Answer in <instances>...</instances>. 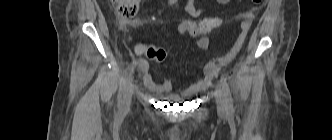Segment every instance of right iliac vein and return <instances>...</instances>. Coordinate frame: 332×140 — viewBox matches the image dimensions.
Returning a JSON list of instances; mask_svg holds the SVG:
<instances>
[{
	"label": "right iliac vein",
	"instance_id": "1",
	"mask_svg": "<svg viewBox=\"0 0 332 140\" xmlns=\"http://www.w3.org/2000/svg\"><path fill=\"white\" fill-rule=\"evenodd\" d=\"M132 94H133V84H132V77L130 76L123 90L122 109L124 111H128L130 109Z\"/></svg>",
	"mask_w": 332,
	"mask_h": 140
}]
</instances>
